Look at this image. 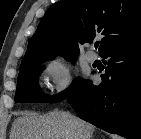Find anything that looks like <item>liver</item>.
I'll list each match as a JSON object with an SVG mask.
<instances>
[{"label":"liver","instance_id":"1","mask_svg":"<svg viewBox=\"0 0 141 139\" xmlns=\"http://www.w3.org/2000/svg\"><path fill=\"white\" fill-rule=\"evenodd\" d=\"M94 131L95 126L69 112H21L13 122L10 139H92Z\"/></svg>","mask_w":141,"mask_h":139}]
</instances>
